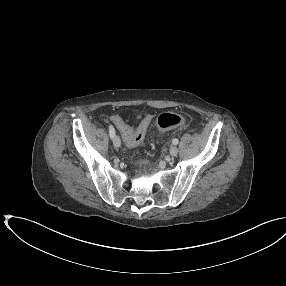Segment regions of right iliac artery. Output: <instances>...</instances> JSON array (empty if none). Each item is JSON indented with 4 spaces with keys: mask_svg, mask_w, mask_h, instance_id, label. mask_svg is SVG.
<instances>
[{
    "mask_svg": "<svg viewBox=\"0 0 286 286\" xmlns=\"http://www.w3.org/2000/svg\"><path fill=\"white\" fill-rule=\"evenodd\" d=\"M109 135L111 138H114L115 136V129L112 125H109Z\"/></svg>",
    "mask_w": 286,
    "mask_h": 286,
    "instance_id": "82829eb1",
    "label": "right iliac artery"
}]
</instances>
